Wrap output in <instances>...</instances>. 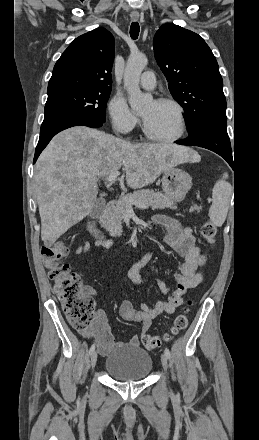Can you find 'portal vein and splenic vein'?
Instances as JSON below:
<instances>
[{
    "instance_id": "18ae733b",
    "label": "portal vein and splenic vein",
    "mask_w": 259,
    "mask_h": 440,
    "mask_svg": "<svg viewBox=\"0 0 259 440\" xmlns=\"http://www.w3.org/2000/svg\"><path fill=\"white\" fill-rule=\"evenodd\" d=\"M119 174H120V173H119L118 171H116V172H112V173H110V174L108 175L107 180H108L111 184H115L116 181H117V178H118ZM128 202H129V203H133L134 205H136L137 207H140V208H142V209H146V208H148V206H147L146 204H144V203H142V202H140V201H136V200H133V199H128Z\"/></svg>"
}]
</instances>
